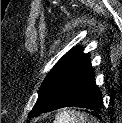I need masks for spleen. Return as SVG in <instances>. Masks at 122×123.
I'll list each match as a JSON object with an SVG mask.
<instances>
[{"label": "spleen", "instance_id": "1", "mask_svg": "<svg viewBox=\"0 0 122 123\" xmlns=\"http://www.w3.org/2000/svg\"><path fill=\"white\" fill-rule=\"evenodd\" d=\"M86 121L85 113L63 110L57 113L54 123H86Z\"/></svg>", "mask_w": 122, "mask_h": 123}]
</instances>
